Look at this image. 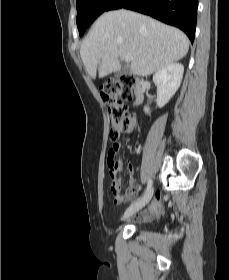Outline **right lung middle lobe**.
Here are the masks:
<instances>
[{
    "label": "right lung middle lobe",
    "instance_id": "right-lung-middle-lobe-1",
    "mask_svg": "<svg viewBox=\"0 0 229 280\" xmlns=\"http://www.w3.org/2000/svg\"><path fill=\"white\" fill-rule=\"evenodd\" d=\"M115 0H76L77 27L82 36L87 27L103 12L108 11Z\"/></svg>",
    "mask_w": 229,
    "mask_h": 280
}]
</instances>
